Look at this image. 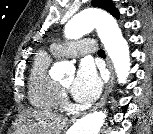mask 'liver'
Instances as JSON below:
<instances>
[{
  "label": "liver",
  "mask_w": 153,
  "mask_h": 134,
  "mask_svg": "<svg viewBox=\"0 0 153 134\" xmlns=\"http://www.w3.org/2000/svg\"><path fill=\"white\" fill-rule=\"evenodd\" d=\"M17 134H57L65 123V119L48 111L27 110L20 116Z\"/></svg>",
  "instance_id": "liver-1"
}]
</instances>
